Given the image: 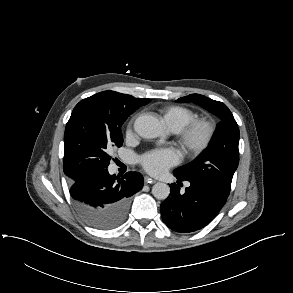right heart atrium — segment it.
I'll use <instances>...</instances> for the list:
<instances>
[{"label":"right heart atrium","mask_w":293,"mask_h":293,"mask_svg":"<svg viewBox=\"0 0 293 293\" xmlns=\"http://www.w3.org/2000/svg\"><path fill=\"white\" fill-rule=\"evenodd\" d=\"M131 122L129 123L128 127H127V134H130L131 133Z\"/></svg>","instance_id":"1"}]
</instances>
